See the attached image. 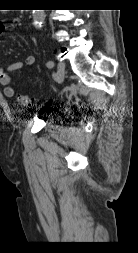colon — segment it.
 <instances>
[{"instance_id":"1","label":"colon","mask_w":138,"mask_h":253,"mask_svg":"<svg viewBox=\"0 0 138 253\" xmlns=\"http://www.w3.org/2000/svg\"><path fill=\"white\" fill-rule=\"evenodd\" d=\"M17 101L23 106H32L33 105V97L27 94H18Z\"/></svg>"}]
</instances>
